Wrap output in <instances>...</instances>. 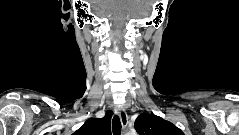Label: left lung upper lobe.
<instances>
[{"instance_id":"1","label":"left lung upper lobe","mask_w":239,"mask_h":135,"mask_svg":"<svg viewBox=\"0 0 239 135\" xmlns=\"http://www.w3.org/2000/svg\"><path fill=\"white\" fill-rule=\"evenodd\" d=\"M135 129L139 135H184L169 121L154 114L143 113L135 120Z\"/></svg>"}]
</instances>
